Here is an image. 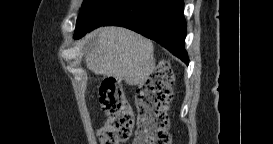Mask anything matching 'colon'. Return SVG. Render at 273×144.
Segmentation results:
<instances>
[{
	"instance_id": "1",
	"label": "colon",
	"mask_w": 273,
	"mask_h": 144,
	"mask_svg": "<svg viewBox=\"0 0 273 144\" xmlns=\"http://www.w3.org/2000/svg\"><path fill=\"white\" fill-rule=\"evenodd\" d=\"M173 80L170 65L162 63L155 67L137 88L136 144L171 143L167 109L172 99ZM98 96L106 117L98 132L101 143L126 142L132 133L134 117L122 85L114 78H107L100 83Z\"/></svg>"
}]
</instances>
